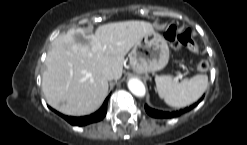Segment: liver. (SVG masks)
<instances>
[{"label":"liver","instance_id":"6515ba94","mask_svg":"<svg viewBox=\"0 0 247 145\" xmlns=\"http://www.w3.org/2000/svg\"><path fill=\"white\" fill-rule=\"evenodd\" d=\"M152 32L151 23L130 20L101 25L95 34L72 28L59 35L47 54V69L42 76L47 103L72 116L96 111L108 94L103 69H110L113 79H120L125 55Z\"/></svg>","mask_w":247,"mask_h":145}]
</instances>
